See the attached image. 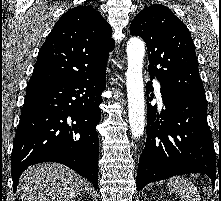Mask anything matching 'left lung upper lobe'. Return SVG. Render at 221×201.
Segmentation results:
<instances>
[{
    "mask_svg": "<svg viewBox=\"0 0 221 201\" xmlns=\"http://www.w3.org/2000/svg\"><path fill=\"white\" fill-rule=\"evenodd\" d=\"M148 50V71L161 88L205 97L196 53L185 24L166 6L153 4L140 11L130 26Z\"/></svg>",
    "mask_w": 221,
    "mask_h": 201,
    "instance_id": "left-lung-upper-lobe-1",
    "label": "left lung upper lobe"
}]
</instances>
